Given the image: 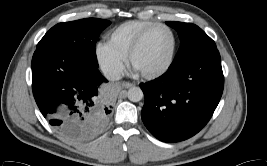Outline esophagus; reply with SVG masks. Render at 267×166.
<instances>
[{"label": "esophagus", "mask_w": 267, "mask_h": 166, "mask_svg": "<svg viewBox=\"0 0 267 166\" xmlns=\"http://www.w3.org/2000/svg\"><path fill=\"white\" fill-rule=\"evenodd\" d=\"M122 85H123L125 88H130V87L133 86V84L130 83V82H123Z\"/></svg>", "instance_id": "obj_1"}]
</instances>
